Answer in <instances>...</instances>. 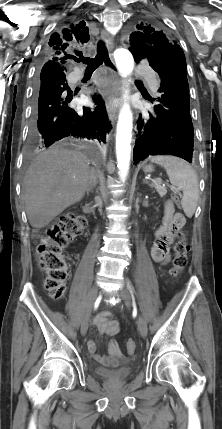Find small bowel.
<instances>
[{"mask_svg":"<svg viewBox=\"0 0 222 429\" xmlns=\"http://www.w3.org/2000/svg\"><path fill=\"white\" fill-rule=\"evenodd\" d=\"M184 224V215L175 212L173 204L168 202L164 208L162 224L155 231L156 241L151 248V257L155 262L165 264L169 261L170 247ZM93 324L99 332L106 333L110 337L115 336L120 330L119 323L108 311H102L96 315ZM87 346L94 360L103 366L116 368L128 361L116 340H110L108 355L97 353V344L93 339L88 340Z\"/></svg>","mask_w":222,"mask_h":429,"instance_id":"small-bowel-1","label":"small bowel"}]
</instances>
